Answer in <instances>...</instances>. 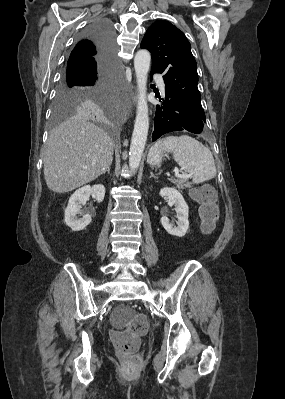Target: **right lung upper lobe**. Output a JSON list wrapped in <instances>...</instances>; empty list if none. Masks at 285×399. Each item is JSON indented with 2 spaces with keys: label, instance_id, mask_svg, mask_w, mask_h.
<instances>
[{
  "label": "right lung upper lobe",
  "instance_id": "cb5924a9",
  "mask_svg": "<svg viewBox=\"0 0 285 399\" xmlns=\"http://www.w3.org/2000/svg\"><path fill=\"white\" fill-rule=\"evenodd\" d=\"M98 55V49L95 42L89 38H82L72 50L68 63L80 60H93Z\"/></svg>",
  "mask_w": 285,
  "mask_h": 399
}]
</instances>
